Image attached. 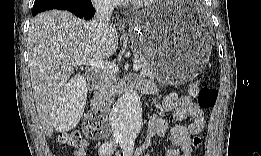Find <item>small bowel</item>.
<instances>
[{"label": "small bowel", "instance_id": "1", "mask_svg": "<svg viewBox=\"0 0 261 156\" xmlns=\"http://www.w3.org/2000/svg\"><path fill=\"white\" fill-rule=\"evenodd\" d=\"M131 84L141 86L144 90H153L154 94L160 92L159 88H151L148 84L141 83L137 79H131ZM165 111H173V119L182 122L191 119L188 125H176L169 131V139L172 147L163 150L164 156H190L192 137L199 134L205 127V113L202 108L194 103L187 95L167 94L161 103ZM168 132L166 120L157 114L149 119L148 134L145 141L140 144L134 152L135 156H151L153 137L165 136ZM89 147V141L83 140L82 145L74 151L75 156H85Z\"/></svg>", "mask_w": 261, "mask_h": 156}]
</instances>
